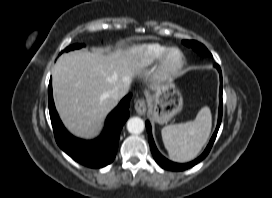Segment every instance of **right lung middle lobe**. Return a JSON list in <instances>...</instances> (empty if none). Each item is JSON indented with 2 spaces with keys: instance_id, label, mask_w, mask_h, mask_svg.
Instances as JSON below:
<instances>
[{
  "instance_id": "dd1d6c3e",
  "label": "right lung middle lobe",
  "mask_w": 272,
  "mask_h": 198,
  "mask_svg": "<svg viewBox=\"0 0 272 198\" xmlns=\"http://www.w3.org/2000/svg\"><path fill=\"white\" fill-rule=\"evenodd\" d=\"M81 47H82V45H80V44H75V45H71V46L67 47V48L65 49V51H70V50H74V49H79V48H81Z\"/></svg>"
}]
</instances>
